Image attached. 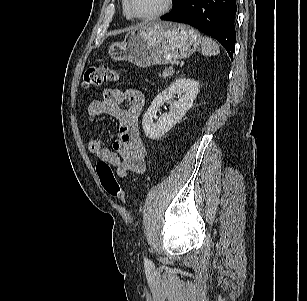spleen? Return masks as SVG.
<instances>
[{"label": "spleen", "mask_w": 307, "mask_h": 301, "mask_svg": "<svg viewBox=\"0 0 307 301\" xmlns=\"http://www.w3.org/2000/svg\"><path fill=\"white\" fill-rule=\"evenodd\" d=\"M201 52L205 56L217 55L220 53L219 46L209 37H202Z\"/></svg>", "instance_id": "spleen-1"}]
</instances>
